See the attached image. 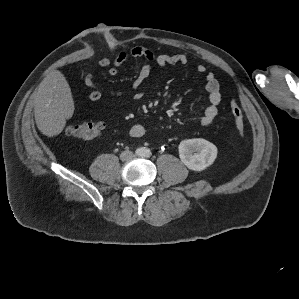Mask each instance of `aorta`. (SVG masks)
Returning <instances> with one entry per match:
<instances>
[{
    "instance_id": "obj_1",
    "label": "aorta",
    "mask_w": 299,
    "mask_h": 299,
    "mask_svg": "<svg viewBox=\"0 0 299 299\" xmlns=\"http://www.w3.org/2000/svg\"><path fill=\"white\" fill-rule=\"evenodd\" d=\"M140 154L142 156H148L150 154V150L149 149H142Z\"/></svg>"
}]
</instances>
